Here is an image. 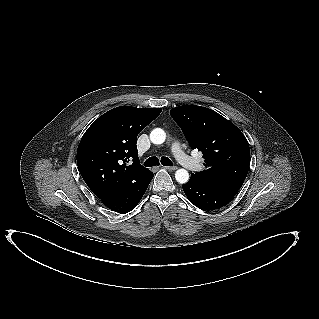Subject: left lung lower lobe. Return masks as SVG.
I'll return each instance as SVG.
<instances>
[{"label": "left lung lower lobe", "mask_w": 319, "mask_h": 319, "mask_svg": "<svg viewBox=\"0 0 319 319\" xmlns=\"http://www.w3.org/2000/svg\"><path fill=\"white\" fill-rule=\"evenodd\" d=\"M182 187L189 201L203 210L219 209L231 202L235 196L194 176H191L190 180Z\"/></svg>", "instance_id": "left-lung-lower-lobe-1"}]
</instances>
